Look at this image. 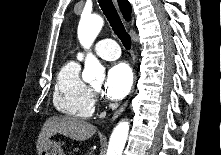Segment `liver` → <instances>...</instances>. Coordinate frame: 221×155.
Masks as SVG:
<instances>
[{"label":"liver","instance_id":"obj_1","mask_svg":"<svg viewBox=\"0 0 221 155\" xmlns=\"http://www.w3.org/2000/svg\"><path fill=\"white\" fill-rule=\"evenodd\" d=\"M96 127L88 122L70 116H52L46 120L38 136L36 148L40 154L46 142L57 133L73 140L85 141L93 136Z\"/></svg>","mask_w":221,"mask_h":155}]
</instances>
